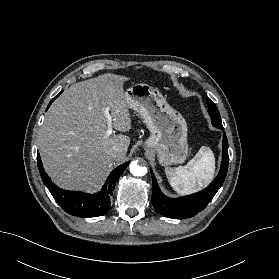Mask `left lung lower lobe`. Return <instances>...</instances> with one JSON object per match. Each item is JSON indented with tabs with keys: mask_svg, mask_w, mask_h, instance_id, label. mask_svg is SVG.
<instances>
[{
	"mask_svg": "<svg viewBox=\"0 0 279 279\" xmlns=\"http://www.w3.org/2000/svg\"><path fill=\"white\" fill-rule=\"evenodd\" d=\"M223 130V152H222V164L221 169L216 177V179L204 190L177 199L169 198L165 196L161 191L151 171L152 175V205L156 209V211L165 217L169 218H190L201 210H203L207 204L212 200L216 192L222 186L227 170H228V141L226 134Z\"/></svg>",
	"mask_w": 279,
	"mask_h": 279,
	"instance_id": "obj_1",
	"label": "left lung lower lobe"
}]
</instances>
